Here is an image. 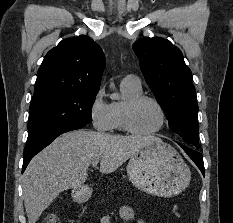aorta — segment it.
<instances>
[{
    "mask_svg": "<svg viewBox=\"0 0 233 223\" xmlns=\"http://www.w3.org/2000/svg\"><path fill=\"white\" fill-rule=\"evenodd\" d=\"M110 86H111V88H115L114 82H111ZM112 100H119L118 94H113Z\"/></svg>",
    "mask_w": 233,
    "mask_h": 223,
    "instance_id": "obj_1",
    "label": "aorta"
}]
</instances>
